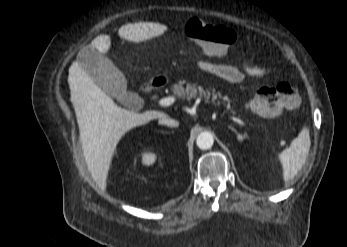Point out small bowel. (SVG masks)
<instances>
[{
  "label": "small bowel",
  "instance_id": "small-bowel-1",
  "mask_svg": "<svg viewBox=\"0 0 347 247\" xmlns=\"http://www.w3.org/2000/svg\"><path fill=\"white\" fill-rule=\"evenodd\" d=\"M198 67L204 73L214 75L233 84L241 83L245 79L246 75L250 77H258L262 72L261 66L253 61L245 66V72H242L237 67L229 64L207 60L199 61Z\"/></svg>",
  "mask_w": 347,
  "mask_h": 247
}]
</instances>
